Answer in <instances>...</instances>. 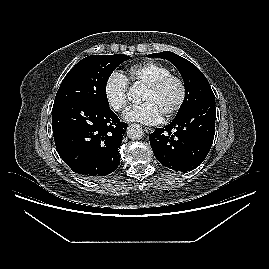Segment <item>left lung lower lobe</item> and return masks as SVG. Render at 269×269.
Listing matches in <instances>:
<instances>
[{
    "label": "left lung lower lobe",
    "instance_id": "0a47b994",
    "mask_svg": "<svg viewBox=\"0 0 269 269\" xmlns=\"http://www.w3.org/2000/svg\"><path fill=\"white\" fill-rule=\"evenodd\" d=\"M215 100L199 102L164 128L150 136L157 160L176 171H191L199 166L213 143L215 134Z\"/></svg>",
    "mask_w": 269,
    "mask_h": 269
}]
</instances>
